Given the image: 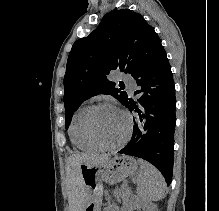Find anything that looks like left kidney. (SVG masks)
Instances as JSON below:
<instances>
[{
	"instance_id": "obj_1",
	"label": "left kidney",
	"mask_w": 219,
	"mask_h": 211,
	"mask_svg": "<svg viewBox=\"0 0 219 211\" xmlns=\"http://www.w3.org/2000/svg\"><path fill=\"white\" fill-rule=\"evenodd\" d=\"M132 207L134 209H144V211H153L152 207H149V205H146L145 201H140V199H134L132 203ZM156 209V207H154Z\"/></svg>"
}]
</instances>
